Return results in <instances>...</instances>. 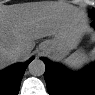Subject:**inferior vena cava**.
<instances>
[{
    "label": "inferior vena cava",
    "instance_id": "inferior-vena-cava-1",
    "mask_svg": "<svg viewBox=\"0 0 95 95\" xmlns=\"http://www.w3.org/2000/svg\"><path fill=\"white\" fill-rule=\"evenodd\" d=\"M21 53H22V50L20 47H16L15 50L13 51V54L17 57V58H20L21 57Z\"/></svg>",
    "mask_w": 95,
    "mask_h": 95
}]
</instances>
